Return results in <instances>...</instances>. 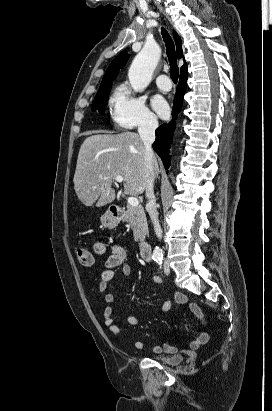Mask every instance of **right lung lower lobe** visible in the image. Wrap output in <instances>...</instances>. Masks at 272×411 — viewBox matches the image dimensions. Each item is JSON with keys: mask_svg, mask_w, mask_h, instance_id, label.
<instances>
[{"mask_svg": "<svg viewBox=\"0 0 272 411\" xmlns=\"http://www.w3.org/2000/svg\"><path fill=\"white\" fill-rule=\"evenodd\" d=\"M187 77L188 72L180 74L179 84L176 89V95L173 102V111L172 116L176 118L178 112L181 110L183 96L187 88ZM176 123L172 120L168 124H162L156 130V140L153 143L154 151L160 156L164 163L165 169H168L170 166V157H169V148L172 142V135L175 129Z\"/></svg>", "mask_w": 272, "mask_h": 411, "instance_id": "right-lung-lower-lobe-1", "label": "right lung lower lobe"}]
</instances>
